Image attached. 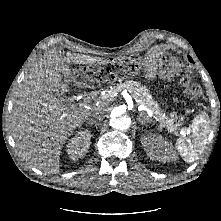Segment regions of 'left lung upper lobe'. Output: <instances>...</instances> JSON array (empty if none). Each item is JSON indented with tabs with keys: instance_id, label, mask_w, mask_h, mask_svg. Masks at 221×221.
<instances>
[{
	"instance_id": "obj_1",
	"label": "left lung upper lobe",
	"mask_w": 221,
	"mask_h": 221,
	"mask_svg": "<svg viewBox=\"0 0 221 221\" xmlns=\"http://www.w3.org/2000/svg\"><path fill=\"white\" fill-rule=\"evenodd\" d=\"M189 60L192 62V59L189 57Z\"/></svg>"
}]
</instances>
